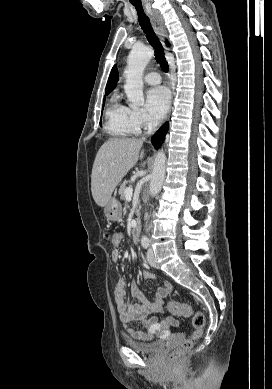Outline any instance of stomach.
Returning a JSON list of instances; mask_svg holds the SVG:
<instances>
[{
  "mask_svg": "<svg viewBox=\"0 0 272 389\" xmlns=\"http://www.w3.org/2000/svg\"><path fill=\"white\" fill-rule=\"evenodd\" d=\"M104 214L111 221L119 220L122 216L121 203L115 197L110 198L104 207Z\"/></svg>",
  "mask_w": 272,
  "mask_h": 389,
  "instance_id": "0dacf381",
  "label": "stomach"
}]
</instances>
